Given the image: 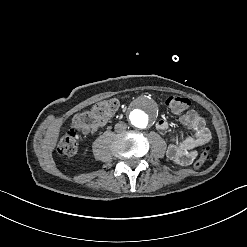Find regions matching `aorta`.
I'll use <instances>...</instances> for the list:
<instances>
[{
  "label": "aorta",
  "instance_id": "762f6f07",
  "mask_svg": "<svg viewBox=\"0 0 247 247\" xmlns=\"http://www.w3.org/2000/svg\"><path fill=\"white\" fill-rule=\"evenodd\" d=\"M147 116L143 112L134 114L132 117V123L135 127L145 128L147 126Z\"/></svg>",
  "mask_w": 247,
  "mask_h": 247
}]
</instances>
